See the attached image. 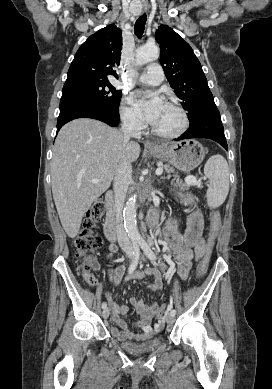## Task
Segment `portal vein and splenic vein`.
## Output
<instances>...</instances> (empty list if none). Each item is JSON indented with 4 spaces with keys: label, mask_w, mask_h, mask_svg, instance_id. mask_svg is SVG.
<instances>
[{
    "label": "portal vein and splenic vein",
    "mask_w": 272,
    "mask_h": 389,
    "mask_svg": "<svg viewBox=\"0 0 272 389\" xmlns=\"http://www.w3.org/2000/svg\"><path fill=\"white\" fill-rule=\"evenodd\" d=\"M155 173H156L157 176H160V175L163 173V169L159 167V168L156 169V172H155ZM186 181H188V182H190V183H192V184H195V185H200V181H197V180H196V177H194V176H189V177L186 179ZM92 182H93V183H98L99 180L93 179Z\"/></svg>",
    "instance_id": "18ae733b"
}]
</instances>
